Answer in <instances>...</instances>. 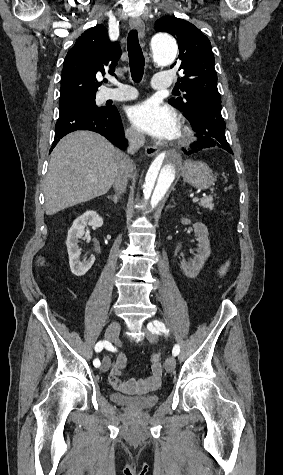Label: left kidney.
I'll list each match as a JSON object with an SVG mask.
<instances>
[{
	"label": "left kidney",
	"mask_w": 283,
	"mask_h": 475,
	"mask_svg": "<svg viewBox=\"0 0 283 475\" xmlns=\"http://www.w3.org/2000/svg\"><path fill=\"white\" fill-rule=\"evenodd\" d=\"M182 224H191V222L187 220V218H183ZM193 228L198 241V247L196 249L197 255H195L191 261H186V259L180 261V265L187 277H197L200 269H202L207 257H209L211 253L207 226L201 224V222H197V224H193Z\"/></svg>",
	"instance_id": "obj_1"
}]
</instances>
